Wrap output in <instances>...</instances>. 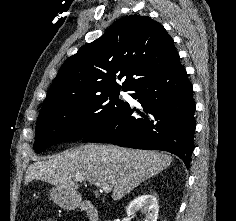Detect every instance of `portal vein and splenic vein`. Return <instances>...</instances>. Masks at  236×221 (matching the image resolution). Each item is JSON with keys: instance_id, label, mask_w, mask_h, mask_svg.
Returning a JSON list of instances; mask_svg holds the SVG:
<instances>
[{"instance_id": "obj_1", "label": "portal vein and splenic vein", "mask_w": 236, "mask_h": 221, "mask_svg": "<svg viewBox=\"0 0 236 221\" xmlns=\"http://www.w3.org/2000/svg\"><path fill=\"white\" fill-rule=\"evenodd\" d=\"M75 180L78 181V182H82L85 179L81 178V177H76ZM89 183L93 184L94 186H97V187L101 188V190L104 193H109L112 190V186L111 185L103 184V183H100V182H94V181H90V180H89Z\"/></svg>"}]
</instances>
